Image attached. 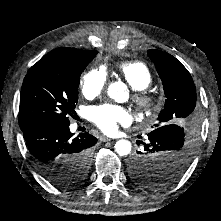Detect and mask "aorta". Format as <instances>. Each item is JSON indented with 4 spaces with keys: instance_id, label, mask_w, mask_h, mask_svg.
<instances>
[{
    "instance_id": "obj_1",
    "label": "aorta",
    "mask_w": 221,
    "mask_h": 221,
    "mask_svg": "<svg viewBox=\"0 0 221 221\" xmlns=\"http://www.w3.org/2000/svg\"><path fill=\"white\" fill-rule=\"evenodd\" d=\"M108 95L116 101H121V99L127 95L124 84L121 82L110 84ZM114 147L115 151L120 156H126L131 152V143L126 139L118 140Z\"/></svg>"
}]
</instances>
